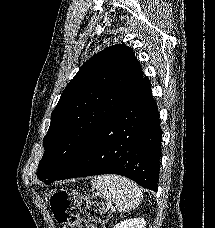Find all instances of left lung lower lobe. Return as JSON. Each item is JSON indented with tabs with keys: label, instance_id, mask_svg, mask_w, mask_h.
I'll return each mask as SVG.
<instances>
[{
	"label": "left lung lower lobe",
	"instance_id": "0a47b994",
	"mask_svg": "<svg viewBox=\"0 0 215 228\" xmlns=\"http://www.w3.org/2000/svg\"><path fill=\"white\" fill-rule=\"evenodd\" d=\"M144 77L133 94L56 180L118 174L158 191L161 137L158 108Z\"/></svg>",
	"mask_w": 215,
	"mask_h": 228
}]
</instances>
